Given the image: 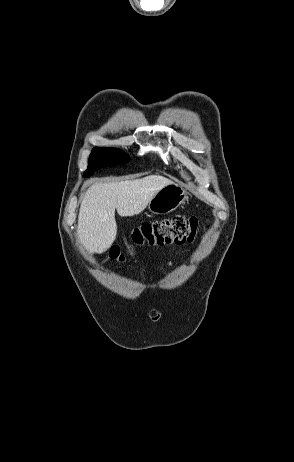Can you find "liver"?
I'll return each mask as SVG.
<instances>
[{"mask_svg":"<svg viewBox=\"0 0 294 462\" xmlns=\"http://www.w3.org/2000/svg\"><path fill=\"white\" fill-rule=\"evenodd\" d=\"M173 182L163 176L116 183H96L86 192L80 206L77 234L93 253L107 251L116 239L115 209L122 217L140 214L153 196Z\"/></svg>","mask_w":294,"mask_h":462,"instance_id":"liver-1","label":"liver"}]
</instances>
